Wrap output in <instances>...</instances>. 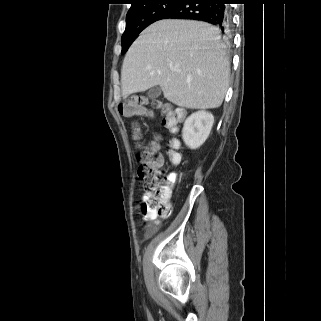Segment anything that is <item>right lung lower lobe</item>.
Returning <instances> with one entry per match:
<instances>
[{
	"label": "right lung lower lobe",
	"mask_w": 321,
	"mask_h": 321,
	"mask_svg": "<svg viewBox=\"0 0 321 321\" xmlns=\"http://www.w3.org/2000/svg\"><path fill=\"white\" fill-rule=\"evenodd\" d=\"M230 0H180L176 6L160 16V19H193L211 23L222 31L231 24Z\"/></svg>",
	"instance_id": "1"
}]
</instances>
